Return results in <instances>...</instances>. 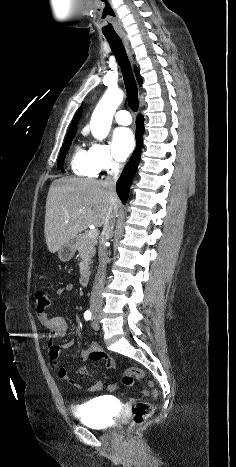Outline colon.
Returning a JSON list of instances; mask_svg holds the SVG:
<instances>
[{
    "instance_id": "5ec220e1",
    "label": "colon",
    "mask_w": 236,
    "mask_h": 467,
    "mask_svg": "<svg viewBox=\"0 0 236 467\" xmlns=\"http://www.w3.org/2000/svg\"><path fill=\"white\" fill-rule=\"evenodd\" d=\"M36 309L39 313H44L51 305V298L49 294L44 290H38L35 293ZM93 360H102L104 358L103 353L96 352L92 354ZM146 378L145 372L137 367H129L123 374L122 381L126 386H132L136 379L143 380ZM148 387L151 390L152 395L156 396V391L153 387L152 382H147ZM153 406L144 401L136 402L132 408V421L131 426H140L144 424L153 415Z\"/></svg>"
}]
</instances>
